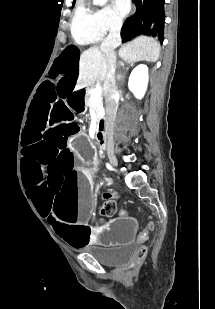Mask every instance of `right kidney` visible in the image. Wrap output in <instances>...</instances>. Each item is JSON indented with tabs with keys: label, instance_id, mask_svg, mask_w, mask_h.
<instances>
[{
	"label": "right kidney",
	"instance_id": "ca27d5eb",
	"mask_svg": "<svg viewBox=\"0 0 215 309\" xmlns=\"http://www.w3.org/2000/svg\"><path fill=\"white\" fill-rule=\"evenodd\" d=\"M148 78L147 64H138L133 68L129 76L128 88L135 94L136 98L144 96L147 90Z\"/></svg>",
	"mask_w": 215,
	"mask_h": 309
}]
</instances>
